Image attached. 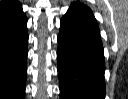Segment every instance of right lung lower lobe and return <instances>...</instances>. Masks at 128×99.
<instances>
[{
  "mask_svg": "<svg viewBox=\"0 0 128 99\" xmlns=\"http://www.w3.org/2000/svg\"><path fill=\"white\" fill-rule=\"evenodd\" d=\"M27 19L21 4L0 15V99H24Z\"/></svg>",
  "mask_w": 128,
  "mask_h": 99,
  "instance_id": "obj_1",
  "label": "right lung lower lobe"
}]
</instances>
